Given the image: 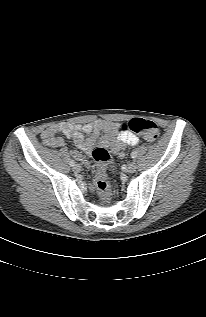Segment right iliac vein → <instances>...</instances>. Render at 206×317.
Instances as JSON below:
<instances>
[{
	"label": "right iliac vein",
	"mask_w": 206,
	"mask_h": 317,
	"mask_svg": "<svg viewBox=\"0 0 206 317\" xmlns=\"http://www.w3.org/2000/svg\"><path fill=\"white\" fill-rule=\"evenodd\" d=\"M73 170H74L75 173H79V172L81 171L80 165H75V166L73 167Z\"/></svg>",
	"instance_id": "63e3f726"
}]
</instances>
